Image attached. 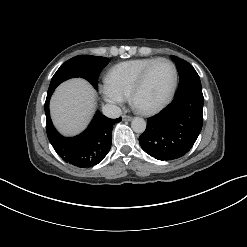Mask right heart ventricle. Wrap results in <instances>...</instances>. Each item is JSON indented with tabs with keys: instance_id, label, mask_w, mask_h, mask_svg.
<instances>
[{
	"instance_id": "1",
	"label": "right heart ventricle",
	"mask_w": 247,
	"mask_h": 247,
	"mask_svg": "<svg viewBox=\"0 0 247 247\" xmlns=\"http://www.w3.org/2000/svg\"><path fill=\"white\" fill-rule=\"evenodd\" d=\"M155 59L157 58H139L118 63L109 70L106 79L124 93L129 94L139 74Z\"/></svg>"
}]
</instances>
